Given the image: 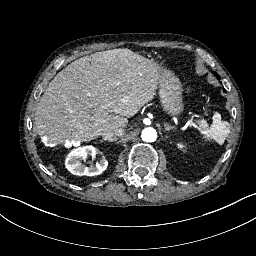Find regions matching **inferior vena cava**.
Returning <instances> with one entry per match:
<instances>
[{
	"mask_svg": "<svg viewBox=\"0 0 256 256\" xmlns=\"http://www.w3.org/2000/svg\"><path fill=\"white\" fill-rule=\"evenodd\" d=\"M122 134H123V129L115 128V129H109L108 131L103 132L101 135L104 140L116 141L117 137L121 136Z\"/></svg>",
	"mask_w": 256,
	"mask_h": 256,
	"instance_id": "602c4592",
	"label": "inferior vena cava"
}]
</instances>
